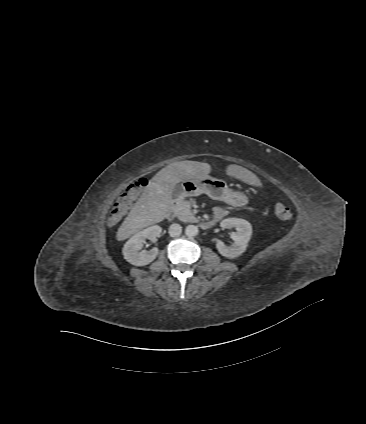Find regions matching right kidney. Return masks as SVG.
<instances>
[{"mask_svg": "<svg viewBox=\"0 0 366 424\" xmlns=\"http://www.w3.org/2000/svg\"><path fill=\"white\" fill-rule=\"evenodd\" d=\"M161 232L160 226L153 225L133 235L122 249L126 261L135 266H145L151 263L158 255V248L155 247L149 251L141 250V248L146 239L157 238Z\"/></svg>", "mask_w": 366, "mask_h": 424, "instance_id": "obj_1", "label": "right kidney"}]
</instances>
